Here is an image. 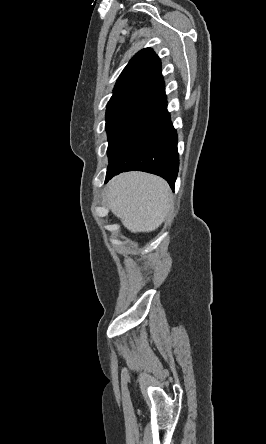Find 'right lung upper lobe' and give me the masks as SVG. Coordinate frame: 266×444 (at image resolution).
I'll return each mask as SVG.
<instances>
[{
    "mask_svg": "<svg viewBox=\"0 0 266 444\" xmlns=\"http://www.w3.org/2000/svg\"><path fill=\"white\" fill-rule=\"evenodd\" d=\"M132 96H150L167 103L161 61L151 48L139 51L129 61L109 102Z\"/></svg>",
    "mask_w": 266,
    "mask_h": 444,
    "instance_id": "right-lung-upper-lobe-1",
    "label": "right lung upper lobe"
}]
</instances>
